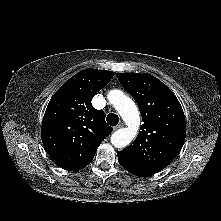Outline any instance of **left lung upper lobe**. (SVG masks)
Segmentation results:
<instances>
[{
	"label": "left lung upper lobe",
	"mask_w": 221,
	"mask_h": 221,
	"mask_svg": "<svg viewBox=\"0 0 221 221\" xmlns=\"http://www.w3.org/2000/svg\"><path fill=\"white\" fill-rule=\"evenodd\" d=\"M117 78L136 101L143 121L133 144L120 152L160 171L183 146L186 122L182 107L173 92L150 74L118 73Z\"/></svg>",
	"instance_id": "left-lung-upper-lobe-1"
}]
</instances>
